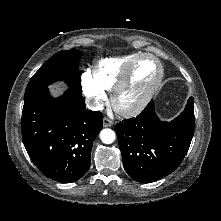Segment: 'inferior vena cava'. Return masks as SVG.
<instances>
[{
    "label": "inferior vena cava",
    "mask_w": 221,
    "mask_h": 221,
    "mask_svg": "<svg viewBox=\"0 0 221 221\" xmlns=\"http://www.w3.org/2000/svg\"><path fill=\"white\" fill-rule=\"evenodd\" d=\"M87 107L91 110H102L103 109V105H101L99 103H95V104L87 103Z\"/></svg>",
    "instance_id": "inferior-vena-cava-1"
}]
</instances>
